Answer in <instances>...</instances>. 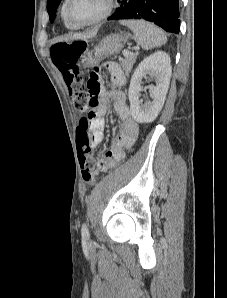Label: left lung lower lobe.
<instances>
[{
  "label": "left lung lower lobe",
  "instance_id": "obj_1",
  "mask_svg": "<svg viewBox=\"0 0 227 298\" xmlns=\"http://www.w3.org/2000/svg\"><path fill=\"white\" fill-rule=\"evenodd\" d=\"M121 4L108 20L145 19L165 31L178 33L179 0H118Z\"/></svg>",
  "mask_w": 227,
  "mask_h": 298
}]
</instances>
